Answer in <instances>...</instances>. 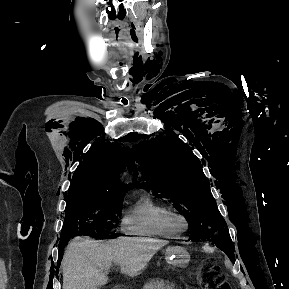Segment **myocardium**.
Segmentation results:
<instances>
[{
    "label": "myocardium",
    "instance_id": "myocardium-1",
    "mask_svg": "<svg viewBox=\"0 0 289 289\" xmlns=\"http://www.w3.org/2000/svg\"><path fill=\"white\" fill-rule=\"evenodd\" d=\"M163 220L166 226L176 234H182L186 232L189 228V222L186 216L182 212L176 209L167 208V210L164 213ZM177 220L183 223L182 228L175 227V222Z\"/></svg>",
    "mask_w": 289,
    "mask_h": 289
}]
</instances>
